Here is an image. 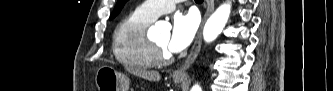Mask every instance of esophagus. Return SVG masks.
<instances>
[{
  "instance_id": "34e87169",
  "label": "esophagus",
  "mask_w": 333,
  "mask_h": 91,
  "mask_svg": "<svg viewBox=\"0 0 333 91\" xmlns=\"http://www.w3.org/2000/svg\"><path fill=\"white\" fill-rule=\"evenodd\" d=\"M206 3H207V9L204 14L199 31L197 33V37L195 39L194 45H193L189 55L187 56L186 60L184 61V63L173 72V76L176 78L184 77L186 75L187 69L192 65V63L194 62V60L196 59V57L199 54L201 44H202L203 26L214 10V0H206Z\"/></svg>"
}]
</instances>
